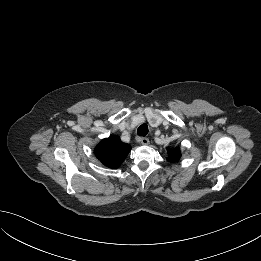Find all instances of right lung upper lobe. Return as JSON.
Instances as JSON below:
<instances>
[{"instance_id":"right-lung-upper-lobe-1","label":"right lung upper lobe","mask_w":261,"mask_h":261,"mask_svg":"<svg viewBox=\"0 0 261 261\" xmlns=\"http://www.w3.org/2000/svg\"><path fill=\"white\" fill-rule=\"evenodd\" d=\"M131 147L121 142L118 136L105 138L95 147V156L107 167L118 168L128 155Z\"/></svg>"}]
</instances>
